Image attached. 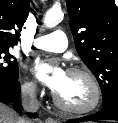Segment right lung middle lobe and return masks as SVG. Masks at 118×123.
I'll return each mask as SVG.
<instances>
[{
  "label": "right lung middle lobe",
  "instance_id": "dd1d6c3e",
  "mask_svg": "<svg viewBox=\"0 0 118 123\" xmlns=\"http://www.w3.org/2000/svg\"><path fill=\"white\" fill-rule=\"evenodd\" d=\"M18 80V64L10 53V48H0V82Z\"/></svg>",
  "mask_w": 118,
  "mask_h": 123
}]
</instances>
